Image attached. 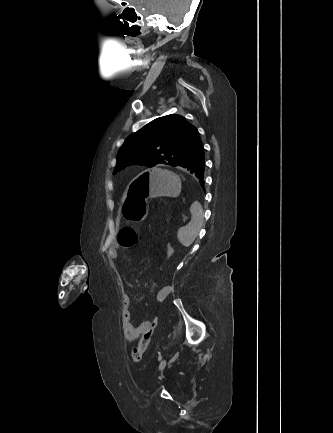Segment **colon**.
Segmentation results:
<instances>
[{
    "label": "colon",
    "mask_w": 333,
    "mask_h": 433,
    "mask_svg": "<svg viewBox=\"0 0 333 433\" xmlns=\"http://www.w3.org/2000/svg\"><path fill=\"white\" fill-rule=\"evenodd\" d=\"M118 243L123 248H131L135 246L138 242L137 232L132 227H123L118 233ZM166 258L172 259L173 254L175 252L174 247L170 244L166 249ZM153 319L151 320L150 331L144 333L137 344L136 347L133 348L131 357L134 362H140L144 355V352L150 342L153 330H156V325L158 323V314H153Z\"/></svg>",
    "instance_id": "colon-1"
}]
</instances>
